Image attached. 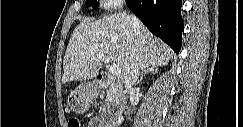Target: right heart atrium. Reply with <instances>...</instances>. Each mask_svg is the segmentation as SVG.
Returning a JSON list of instances; mask_svg holds the SVG:
<instances>
[{"label":"right heart atrium","mask_w":243,"mask_h":127,"mask_svg":"<svg viewBox=\"0 0 243 127\" xmlns=\"http://www.w3.org/2000/svg\"><path fill=\"white\" fill-rule=\"evenodd\" d=\"M123 0H105L104 4L110 10H117L123 5Z\"/></svg>","instance_id":"obj_1"}]
</instances>
